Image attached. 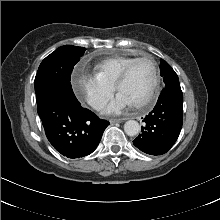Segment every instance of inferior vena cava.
Here are the masks:
<instances>
[{"instance_id":"1","label":"inferior vena cava","mask_w":220,"mask_h":220,"mask_svg":"<svg viewBox=\"0 0 220 220\" xmlns=\"http://www.w3.org/2000/svg\"><path fill=\"white\" fill-rule=\"evenodd\" d=\"M91 105L96 109H100L105 105V102L103 100L95 99L91 101Z\"/></svg>"}]
</instances>
